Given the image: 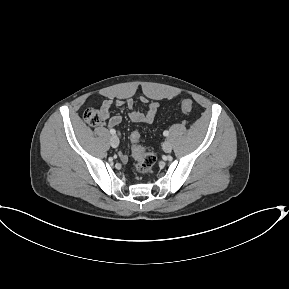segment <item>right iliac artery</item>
<instances>
[{
	"instance_id": "1",
	"label": "right iliac artery",
	"mask_w": 289,
	"mask_h": 289,
	"mask_svg": "<svg viewBox=\"0 0 289 289\" xmlns=\"http://www.w3.org/2000/svg\"><path fill=\"white\" fill-rule=\"evenodd\" d=\"M110 133L115 134L116 133L115 129H110Z\"/></svg>"
}]
</instances>
